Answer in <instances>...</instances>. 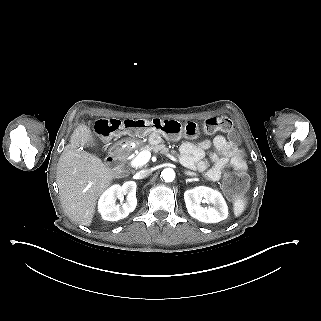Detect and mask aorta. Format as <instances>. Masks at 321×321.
<instances>
[{
  "instance_id": "762f6f07",
  "label": "aorta",
  "mask_w": 321,
  "mask_h": 321,
  "mask_svg": "<svg viewBox=\"0 0 321 321\" xmlns=\"http://www.w3.org/2000/svg\"><path fill=\"white\" fill-rule=\"evenodd\" d=\"M161 175L166 182H172L175 179V172L171 168L164 169Z\"/></svg>"
}]
</instances>
